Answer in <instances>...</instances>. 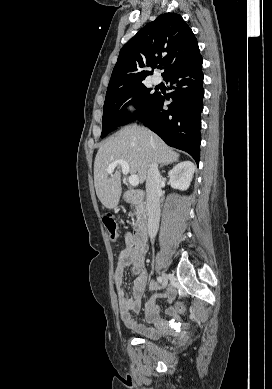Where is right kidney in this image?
I'll return each mask as SVG.
<instances>
[{
	"instance_id": "1",
	"label": "right kidney",
	"mask_w": 272,
	"mask_h": 389,
	"mask_svg": "<svg viewBox=\"0 0 272 389\" xmlns=\"http://www.w3.org/2000/svg\"><path fill=\"white\" fill-rule=\"evenodd\" d=\"M195 172V166L190 161H184L174 166L168 173L170 184L174 189L185 191L189 188Z\"/></svg>"
}]
</instances>
